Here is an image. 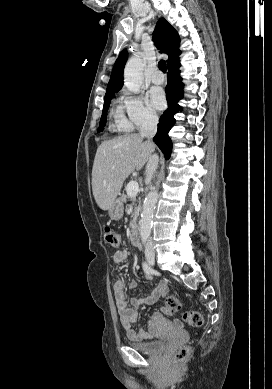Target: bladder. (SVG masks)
<instances>
[{"mask_svg": "<svg viewBox=\"0 0 272 389\" xmlns=\"http://www.w3.org/2000/svg\"><path fill=\"white\" fill-rule=\"evenodd\" d=\"M128 343L132 348L149 355L163 352L167 345L165 340H154L148 342L129 340Z\"/></svg>", "mask_w": 272, "mask_h": 389, "instance_id": "bladder-1", "label": "bladder"}]
</instances>
